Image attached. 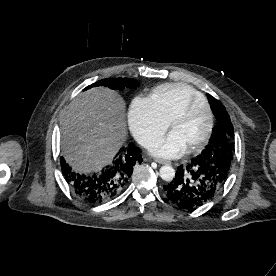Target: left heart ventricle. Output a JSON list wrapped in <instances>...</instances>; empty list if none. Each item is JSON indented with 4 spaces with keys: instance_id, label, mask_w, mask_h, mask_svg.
<instances>
[{
    "instance_id": "left-heart-ventricle-1",
    "label": "left heart ventricle",
    "mask_w": 276,
    "mask_h": 276,
    "mask_svg": "<svg viewBox=\"0 0 276 276\" xmlns=\"http://www.w3.org/2000/svg\"><path fill=\"white\" fill-rule=\"evenodd\" d=\"M207 125L208 113L202 106H199L188 118L177 122L172 131H175L189 148L204 136Z\"/></svg>"
}]
</instances>
